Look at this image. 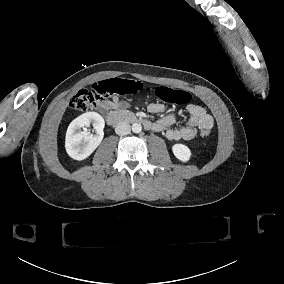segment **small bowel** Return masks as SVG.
Segmentation results:
<instances>
[{
  "label": "small bowel",
  "mask_w": 284,
  "mask_h": 284,
  "mask_svg": "<svg viewBox=\"0 0 284 284\" xmlns=\"http://www.w3.org/2000/svg\"><path fill=\"white\" fill-rule=\"evenodd\" d=\"M119 107H128V103L120 100L117 95L111 97L106 103V109H117ZM165 106L161 103H151L148 106V111L153 114L162 113ZM188 118L182 127L172 128L179 117L178 112L171 113L155 122H150L148 129L163 132L165 136L172 141L177 140H192L195 138L198 129L211 130L214 125L213 117L206 111V109L197 104H188L186 106Z\"/></svg>",
  "instance_id": "obj_1"
}]
</instances>
